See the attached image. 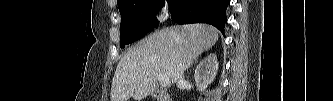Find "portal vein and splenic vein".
Returning <instances> with one entry per match:
<instances>
[{"instance_id": "1", "label": "portal vein and splenic vein", "mask_w": 333, "mask_h": 101, "mask_svg": "<svg viewBox=\"0 0 333 101\" xmlns=\"http://www.w3.org/2000/svg\"><path fill=\"white\" fill-rule=\"evenodd\" d=\"M157 80L160 82L161 85H164V86L170 84V79L165 75H158Z\"/></svg>"}]
</instances>
